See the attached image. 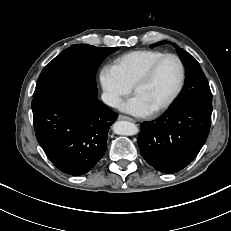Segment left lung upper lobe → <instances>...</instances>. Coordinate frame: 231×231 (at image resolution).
<instances>
[{
	"label": "left lung upper lobe",
	"instance_id": "obj_1",
	"mask_svg": "<svg viewBox=\"0 0 231 231\" xmlns=\"http://www.w3.org/2000/svg\"><path fill=\"white\" fill-rule=\"evenodd\" d=\"M164 43L172 44L168 41H161L152 44L151 47L153 48ZM172 45L176 48V51L185 66L186 80L180 95L176 98L171 106L186 102H203L212 104V93L208 80L199 63L192 55L181 49L175 43Z\"/></svg>",
	"mask_w": 231,
	"mask_h": 231
}]
</instances>
